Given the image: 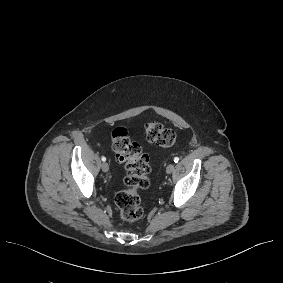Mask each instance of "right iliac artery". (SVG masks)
Returning <instances> with one entry per match:
<instances>
[{
  "label": "right iliac artery",
  "mask_w": 283,
  "mask_h": 283,
  "mask_svg": "<svg viewBox=\"0 0 283 283\" xmlns=\"http://www.w3.org/2000/svg\"><path fill=\"white\" fill-rule=\"evenodd\" d=\"M101 160H102L103 162H105V161H106V158H105L104 156H102V157H101Z\"/></svg>",
  "instance_id": "obj_1"
}]
</instances>
